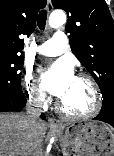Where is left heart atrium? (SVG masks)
<instances>
[{
	"label": "left heart atrium",
	"mask_w": 114,
	"mask_h": 156,
	"mask_svg": "<svg viewBox=\"0 0 114 156\" xmlns=\"http://www.w3.org/2000/svg\"><path fill=\"white\" fill-rule=\"evenodd\" d=\"M74 78L72 64L67 59L58 60L41 70L43 88L58 98L67 92Z\"/></svg>",
	"instance_id": "obj_1"
}]
</instances>
